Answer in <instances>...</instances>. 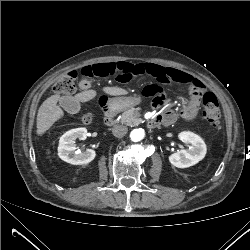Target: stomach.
Wrapping results in <instances>:
<instances>
[{"mask_svg": "<svg viewBox=\"0 0 250 250\" xmlns=\"http://www.w3.org/2000/svg\"><path fill=\"white\" fill-rule=\"evenodd\" d=\"M142 101L141 97L129 96V97H118L111 100V104L119 109L130 108L138 105Z\"/></svg>", "mask_w": 250, "mask_h": 250, "instance_id": "obj_1", "label": "stomach"}]
</instances>
